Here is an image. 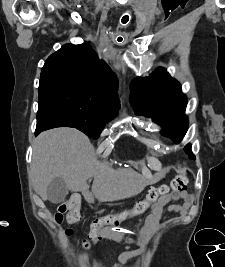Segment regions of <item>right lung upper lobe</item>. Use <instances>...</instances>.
Instances as JSON below:
<instances>
[{"mask_svg":"<svg viewBox=\"0 0 225 267\" xmlns=\"http://www.w3.org/2000/svg\"><path fill=\"white\" fill-rule=\"evenodd\" d=\"M61 79L89 88L97 97L119 109L117 78L87 44H65L50 55L42 68L40 81Z\"/></svg>","mask_w":225,"mask_h":267,"instance_id":"1","label":"right lung upper lobe"}]
</instances>
